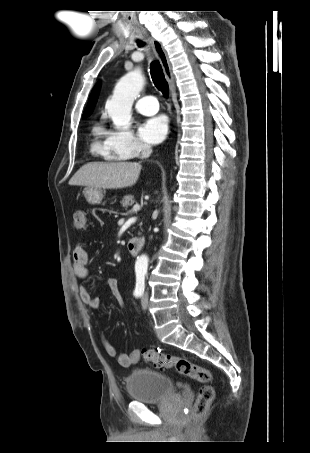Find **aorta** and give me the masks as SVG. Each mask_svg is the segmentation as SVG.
<instances>
[{
	"instance_id": "aorta-1",
	"label": "aorta",
	"mask_w": 310,
	"mask_h": 453,
	"mask_svg": "<svg viewBox=\"0 0 310 453\" xmlns=\"http://www.w3.org/2000/svg\"><path fill=\"white\" fill-rule=\"evenodd\" d=\"M145 84L140 69H135L123 76L116 84L112 97L106 102V110L117 128L128 125L131 120V109L134 100ZM136 269L145 270L148 267V257L141 255L137 258Z\"/></svg>"
}]
</instances>
